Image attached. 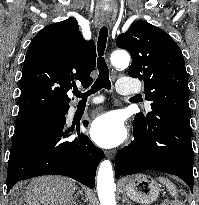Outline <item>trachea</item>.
Wrapping results in <instances>:
<instances>
[{"instance_id":"3493384b","label":"trachea","mask_w":199,"mask_h":205,"mask_svg":"<svg viewBox=\"0 0 199 205\" xmlns=\"http://www.w3.org/2000/svg\"><path fill=\"white\" fill-rule=\"evenodd\" d=\"M108 37V29L106 26H103L100 29L99 37H98V58H97V68L99 71L98 78L96 79L95 83L91 87L90 90H88L86 93H81L79 90H74L73 94L77 97L81 98L82 101L87 100V97L95 94L102 88L111 89V83L109 80V69L104 59V52L106 49V42Z\"/></svg>"}]
</instances>
